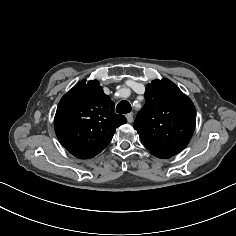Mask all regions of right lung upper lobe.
Listing matches in <instances>:
<instances>
[{
	"instance_id": "cb5924a9",
	"label": "right lung upper lobe",
	"mask_w": 236,
	"mask_h": 236,
	"mask_svg": "<svg viewBox=\"0 0 236 236\" xmlns=\"http://www.w3.org/2000/svg\"><path fill=\"white\" fill-rule=\"evenodd\" d=\"M127 119L114 112V102L97 80L81 81L60 100L54 128L60 143L75 157L88 159L111 141Z\"/></svg>"
}]
</instances>
